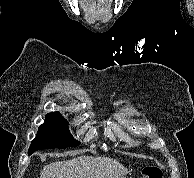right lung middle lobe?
Masks as SVG:
<instances>
[{
  "label": "right lung middle lobe",
  "mask_w": 194,
  "mask_h": 178,
  "mask_svg": "<svg viewBox=\"0 0 194 178\" xmlns=\"http://www.w3.org/2000/svg\"><path fill=\"white\" fill-rule=\"evenodd\" d=\"M79 144L70 134L67 120L58 112H52L46 115L45 123L39 127L28 154L40 149L75 147Z\"/></svg>",
  "instance_id": "obj_1"
}]
</instances>
